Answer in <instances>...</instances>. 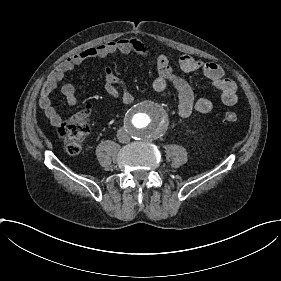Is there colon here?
<instances>
[{
  "label": "colon",
  "instance_id": "1",
  "mask_svg": "<svg viewBox=\"0 0 281 281\" xmlns=\"http://www.w3.org/2000/svg\"><path fill=\"white\" fill-rule=\"evenodd\" d=\"M226 124L235 125L239 122V113L235 110H226L222 116ZM89 128L85 121L81 119H70L60 128V136L66 148L71 153H78L82 147V141L88 134Z\"/></svg>",
  "mask_w": 281,
  "mask_h": 281
}]
</instances>
